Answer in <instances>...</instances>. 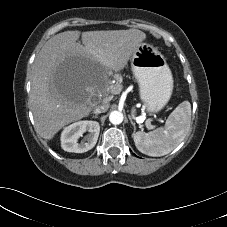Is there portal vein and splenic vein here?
Returning a JSON list of instances; mask_svg holds the SVG:
<instances>
[{
  "label": "portal vein and splenic vein",
  "mask_w": 227,
  "mask_h": 227,
  "mask_svg": "<svg viewBox=\"0 0 227 227\" xmlns=\"http://www.w3.org/2000/svg\"><path fill=\"white\" fill-rule=\"evenodd\" d=\"M146 126H147L148 128H150V129H152V128H153V126L151 125V123H150V122L146 123Z\"/></svg>",
  "instance_id": "portal-vein-and-splenic-vein-1"
}]
</instances>
